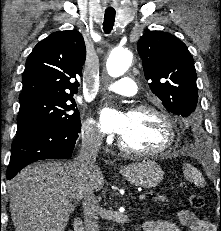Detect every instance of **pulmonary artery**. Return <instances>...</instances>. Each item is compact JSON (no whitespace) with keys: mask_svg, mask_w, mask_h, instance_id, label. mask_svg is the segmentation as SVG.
Here are the masks:
<instances>
[{"mask_svg":"<svg viewBox=\"0 0 221 231\" xmlns=\"http://www.w3.org/2000/svg\"><path fill=\"white\" fill-rule=\"evenodd\" d=\"M106 88L122 96H134L137 93L135 82L128 77L111 82Z\"/></svg>","mask_w":221,"mask_h":231,"instance_id":"obj_1","label":"pulmonary artery"}]
</instances>
